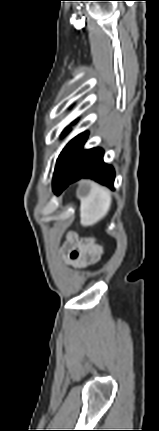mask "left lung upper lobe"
I'll return each mask as SVG.
<instances>
[{"label": "left lung upper lobe", "mask_w": 159, "mask_h": 431, "mask_svg": "<svg viewBox=\"0 0 159 431\" xmlns=\"http://www.w3.org/2000/svg\"><path fill=\"white\" fill-rule=\"evenodd\" d=\"M66 132H68V129H66L65 131H64V133L63 134H65ZM79 136V135H78ZM78 136H76L75 138H73L65 147H64V149L62 150V152H61V154L59 155V157H58V159H57V163H56V168H55V172H54V178L57 176V174L59 173V171H60V169H61V167H62V164H63V161H64V159H65V157H66V155H67V153H68V151H69V149L71 148V146L73 145V143L75 142V140L77 139V137Z\"/></svg>", "instance_id": "obj_1"}]
</instances>
